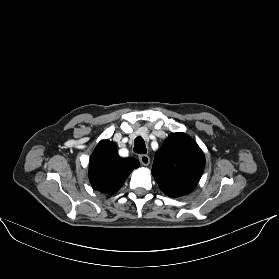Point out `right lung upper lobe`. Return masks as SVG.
<instances>
[{
	"mask_svg": "<svg viewBox=\"0 0 279 279\" xmlns=\"http://www.w3.org/2000/svg\"><path fill=\"white\" fill-rule=\"evenodd\" d=\"M138 167L137 159L121 158L113 142L102 140L90 157L89 180L96 190L113 194L124 184L133 169Z\"/></svg>",
	"mask_w": 279,
	"mask_h": 279,
	"instance_id": "1",
	"label": "right lung upper lobe"
}]
</instances>
